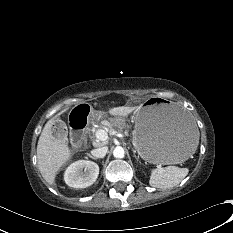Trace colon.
Segmentation results:
<instances>
[{
  "mask_svg": "<svg viewBox=\"0 0 233 233\" xmlns=\"http://www.w3.org/2000/svg\"><path fill=\"white\" fill-rule=\"evenodd\" d=\"M55 128H56V133L59 136L63 137L65 135L64 128H63V126L61 124L57 123L56 126H55Z\"/></svg>",
  "mask_w": 233,
  "mask_h": 233,
  "instance_id": "5ec220e1",
  "label": "colon"
}]
</instances>
